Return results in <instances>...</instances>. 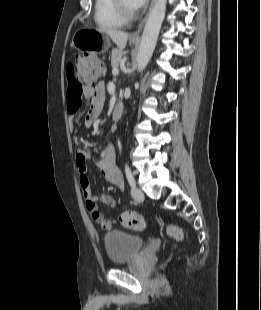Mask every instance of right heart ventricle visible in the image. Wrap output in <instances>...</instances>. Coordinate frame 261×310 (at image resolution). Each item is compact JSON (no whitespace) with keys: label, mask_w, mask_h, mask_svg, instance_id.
Segmentation results:
<instances>
[{"label":"right heart ventricle","mask_w":261,"mask_h":310,"mask_svg":"<svg viewBox=\"0 0 261 310\" xmlns=\"http://www.w3.org/2000/svg\"><path fill=\"white\" fill-rule=\"evenodd\" d=\"M94 20L102 29H116L125 24L115 11L112 0L94 1Z\"/></svg>","instance_id":"right-heart-ventricle-1"}]
</instances>
